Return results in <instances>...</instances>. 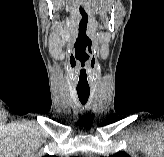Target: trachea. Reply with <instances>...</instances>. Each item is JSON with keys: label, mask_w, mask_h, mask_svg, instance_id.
I'll list each match as a JSON object with an SVG mask.
<instances>
[{"label": "trachea", "mask_w": 164, "mask_h": 157, "mask_svg": "<svg viewBox=\"0 0 164 157\" xmlns=\"http://www.w3.org/2000/svg\"><path fill=\"white\" fill-rule=\"evenodd\" d=\"M77 94L80 102L84 105L89 98L90 89H77Z\"/></svg>", "instance_id": "3493384b"}]
</instances>
